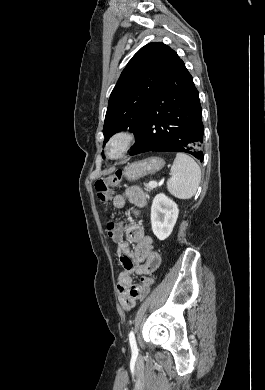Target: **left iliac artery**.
<instances>
[{
  "instance_id": "44dca946",
  "label": "left iliac artery",
  "mask_w": 265,
  "mask_h": 390,
  "mask_svg": "<svg viewBox=\"0 0 265 390\" xmlns=\"http://www.w3.org/2000/svg\"><path fill=\"white\" fill-rule=\"evenodd\" d=\"M129 342H130L132 354L138 355L137 343H136V339H135V335H134L133 331H131L129 333Z\"/></svg>"
}]
</instances>
